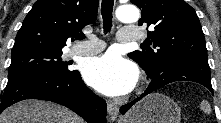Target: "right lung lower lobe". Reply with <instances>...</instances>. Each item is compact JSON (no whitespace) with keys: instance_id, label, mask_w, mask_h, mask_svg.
I'll return each mask as SVG.
<instances>
[{"instance_id":"obj_1","label":"right lung lower lobe","mask_w":221,"mask_h":123,"mask_svg":"<svg viewBox=\"0 0 221 123\" xmlns=\"http://www.w3.org/2000/svg\"><path fill=\"white\" fill-rule=\"evenodd\" d=\"M25 99L52 101L71 109L88 123H106V102L84 84L79 71L65 76L30 72L8 78L0 113Z\"/></svg>"}]
</instances>
